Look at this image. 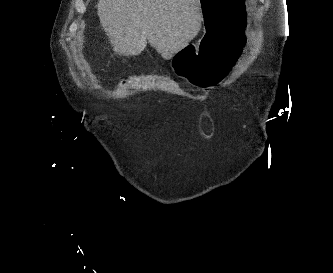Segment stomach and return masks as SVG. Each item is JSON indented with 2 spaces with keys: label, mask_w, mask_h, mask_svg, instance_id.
Here are the masks:
<instances>
[{
  "label": "stomach",
  "mask_w": 333,
  "mask_h": 273,
  "mask_svg": "<svg viewBox=\"0 0 333 273\" xmlns=\"http://www.w3.org/2000/svg\"><path fill=\"white\" fill-rule=\"evenodd\" d=\"M205 23L197 48L187 44L173 54L175 75L199 89L209 88L235 75L234 65L247 50V23L251 13L248 0H197Z\"/></svg>",
  "instance_id": "0dacf381"
}]
</instances>
